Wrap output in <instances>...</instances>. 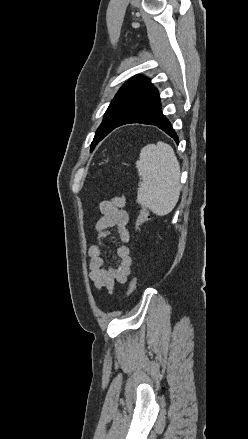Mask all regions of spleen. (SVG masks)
Returning a JSON list of instances; mask_svg holds the SVG:
<instances>
[{
    "label": "spleen",
    "instance_id": "3e777b00",
    "mask_svg": "<svg viewBox=\"0 0 248 439\" xmlns=\"http://www.w3.org/2000/svg\"><path fill=\"white\" fill-rule=\"evenodd\" d=\"M136 168L141 180L137 202L157 216L169 214L181 190L180 165L172 147L161 141L146 145L136 161Z\"/></svg>",
    "mask_w": 248,
    "mask_h": 439
}]
</instances>
